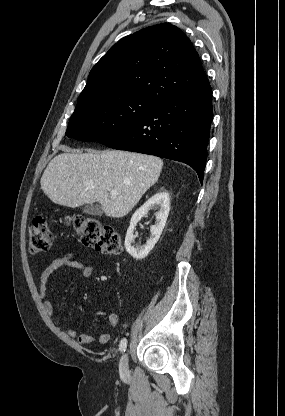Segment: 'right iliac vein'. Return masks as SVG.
<instances>
[{
    "label": "right iliac vein",
    "mask_w": 285,
    "mask_h": 416,
    "mask_svg": "<svg viewBox=\"0 0 285 416\" xmlns=\"http://www.w3.org/2000/svg\"><path fill=\"white\" fill-rule=\"evenodd\" d=\"M120 373L123 376H127L129 374V366H128V354L124 353L120 363H119Z\"/></svg>",
    "instance_id": "1"
}]
</instances>
